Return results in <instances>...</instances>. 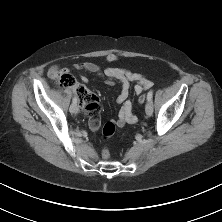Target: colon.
Here are the masks:
<instances>
[{
  "label": "colon",
  "mask_w": 222,
  "mask_h": 222,
  "mask_svg": "<svg viewBox=\"0 0 222 222\" xmlns=\"http://www.w3.org/2000/svg\"><path fill=\"white\" fill-rule=\"evenodd\" d=\"M55 81L60 86L68 87V86H74L77 88L78 97L81 101V103L84 105L85 111L91 113V112H97L100 110V102L98 97L91 92L90 90L86 89L85 87L78 86L75 83V80L73 77L68 73H59L55 78ZM148 100V96L146 94H143L139 98V103L142 104L143 102H146ZM115 132V124L112 122H107L102 129V134L105 139L110 138ZM102 155L104 158L109 157V151L107 148H104L102 151Z\"/></svg>",
  "instance_id": "obj_1"
}]
</instances>
